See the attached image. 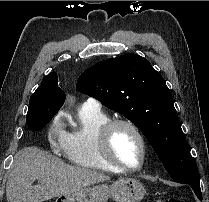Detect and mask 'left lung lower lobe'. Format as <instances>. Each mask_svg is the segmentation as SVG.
<instances>
[{"label":"left lung lower lobe","mask_w":209,"mask_h":202,"mask_svg":"<svg viewBox=\"0 0 209 202\" xmlns=\"http://www.w3.org/2000/svg\"><path fill=\"white\" fill-rule=\"evenodd\" d=\"M189 185H190V186L192 187V189L194 190L196 196H197L200 200H202V194H201V189H200V183H198V184H189Z\"/></svg>","instance_id":"1"}]
</instances>
